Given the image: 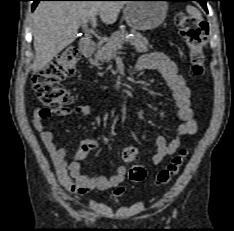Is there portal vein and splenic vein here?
Returning a JSON list of instances; mask_svg holds the SVG:
<instances>
[{
	"instance_id": "18ae733b",
	"label": "portal vein and splenic vein",
	"mask_w": 234,
	"mask_h": 231,
	"mask_svg": "<svg viewBox=\"0 0 234 231\" xmlns=\"http://www.w3.org/2000/svg\"><path fill=\"white\" fill-rule=\"evenodd\" d=\"M90 22H91L92 28H95V27H96V24H97V19H96V17H92V18L90 19Z\"/></svg>"
}]
</instances>
